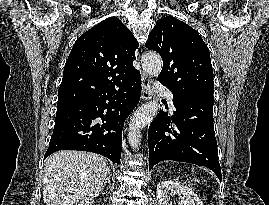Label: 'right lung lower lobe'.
<instances>
[{"mask_svg":"<svg viewBox=\"0 0 269 205\" xmlns=\"http://www.w3.org/2000/svg\"><path fill=\"white\" fill-rule=\"evenodd\" d=\"M140 94L141 75L136 71L115 91L58 105L44 158L59 150H81L101 154L118 165L124 122L137 105Z\"/></svg>","mask_w":269,"mask_h":205,"instance_id":"98d812e1","label":"right lung lower lobe"}]
</instances>
